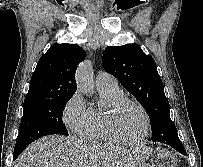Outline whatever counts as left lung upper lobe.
<instances>
[{
  "mask_svg": "<svg viewBox=\"0 0 203 167\" xmlns=\"http://www.w3.org/2000/svg\"><path fill=\"white\" fill-rule=\"evenodd\" d=\"M102 64L105 71L115 76L148 113L153 141L178 137L170 119V106L163 83L151 56L146 55L137 44L112 46L105 49Z\"/></svg>",
  "mask_w": 203,
  "mask_h": 167,
  "instance_id": "1",
  "label": "left lung upper lobe"
}]
</instances>
